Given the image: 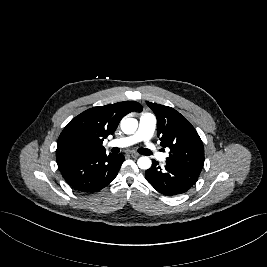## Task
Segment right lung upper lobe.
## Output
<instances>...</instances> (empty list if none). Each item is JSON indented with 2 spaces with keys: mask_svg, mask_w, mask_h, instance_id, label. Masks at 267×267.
<instances>
[{
  "mask_svg": "<svg viewBox=\"0 0 267 267\" xmlns=\"http://www.w3.org/2000/svg\"><path fill=\"white\" fill-rule=\"evenodd\" d=\"M142 110L135 101L90 108L75 118L61 132L57 141L56 157L105 152L103 140L113 134L120 120L128 113ZM75 146L77 151L66 153V148Z\"/></svg>",
  "mask_w": 267,
  "mask_h": 267,
  "instance_id": "right-lung-upper-lobe-1",
  "label": "right lung upper lobe"
}]
</instances>
